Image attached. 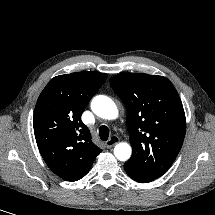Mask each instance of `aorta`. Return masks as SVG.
<instances>
[{
  "instance_id": "762f6f07",
  "label": "aorta",
  "mask_w": 215,
  "mask_h": 215,
  "mask_svg": "<svg viewBox=\"0 0 215 215\" xmlns=\"http://www.w3.org/2000/svg\"><path fill=\"white\" fill-rule=\"evenodd\" d=\"M92 111L99 117L113 120L118 116L116 104L107 96H96L91 102ZM114 155L120 161H126L131 156V147L128 143L122 142L115 146Z\"/></svg>"
}]
</instances>
